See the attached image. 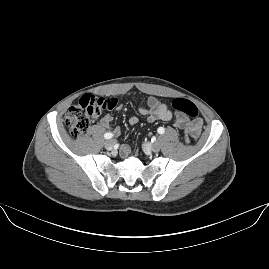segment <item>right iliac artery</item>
<instances>
[{"instance_id":"82829eb1","label":"right iliac artery","mask_w":269,"mask_h":269,"mask_svg":"<svg viewBox=\"0 0 269 269\" xmlns=\"http://www.w3.org/2000/svg\"><path fill=\"white\" fill-rule=\"evenodd\" d=\"M112 136H113L112 133H106V134H104V138L105 139H110V138H112Z\"/></svg>"}]
</instances>
